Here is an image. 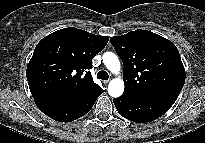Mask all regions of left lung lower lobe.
<instances>
[{
  "label": "left lung lower lobe",
  "mask_w": 205,
  "mask_h": 143,
  "mask_svg": "<svg viewBox=\"0 0 205 143\" xmlns=\"http://www.w3.org/2000/svg\"><path fill=\"white\" fill-rule=\"evenodd\" d=\"M179 93L168 92L143 98L122 95L113 100L119 114L136 123L153 121L165 114Z\"/></svg>",
  "instance_id": "1"
}]
</instances>
